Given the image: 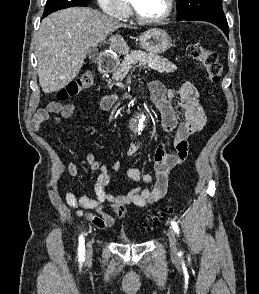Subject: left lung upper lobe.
<instances>
[{"label": "left lung upper lobe", "mask_w": 259, "mask_h": 294, "mask_svg": "<svg viewBox=\"0 0 259 294\" xmlns=\"http://www.w3.org/2000/svg\"><path fill=\"white\" fill-rule=\"evenodd\" d=\"M177 18L196 15L224 16L222 0H177Z\"/></svg>", "instance_id": "1"}]
</instances>
